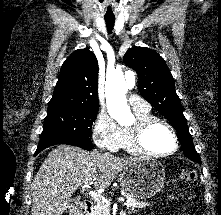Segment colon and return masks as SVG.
<instances>
[{"label":"colon","mask_w":221,"mask_h":215,"mask_svg":"<svg viewBox=\"0 0 221 215\" xmlns=\"http://www.w3.org/2000/svg\"><path fill=\"white\" fill-rule=\"evenodd\" d=\"M182 178L194 189V191H197L199 185V175L194 169H185L182 173Z\"/></svg>","instance_id":"colon-1"}]
</instances>
